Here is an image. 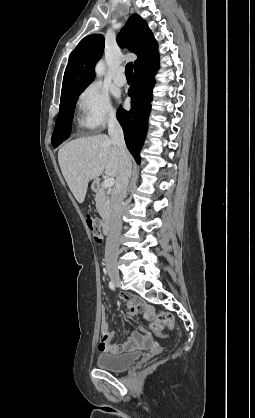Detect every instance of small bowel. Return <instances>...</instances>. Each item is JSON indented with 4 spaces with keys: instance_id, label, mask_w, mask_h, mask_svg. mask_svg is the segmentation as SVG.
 <instances>
[{
    "instance_id": "1",
    "label": "small bowel",
    "mask_w": 255,
    "mask_h": 418,
    "mask_svg": "<svg viewBox=\"0 0 255 418\" xmlns=\"http://www.w3.org/2000/svg\"><path fill=\"white\" fill-rule=\"evenodd\" d=\"M127 308L128 316H135L142 312L144 320H149L152 314L151 307L138 299H129L127 301ZM113 338L114 333L109 331L108 320L105 311L103 310L99 338L100 351L111 354H120L128 350L141 347L146 343L148 334L144 329L141 330V333L133 332L125 343L120 344L113 343Z\"/></svg>"
}]
</instances>
